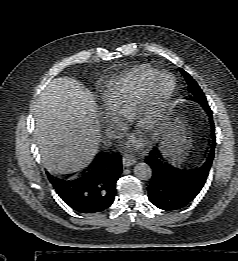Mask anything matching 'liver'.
Instances as JSON below:
<instances>
[{"mask_svg":"<svg viewBox=\"0 0 238 261\" xmlns=\"http://www.w3.org/2000/svg\"><path fill=\"white\" fill-rule=\"evenodd\" d=\"M34 137L45 168L69 174L87 167L97 154L101 126L93 96L80 82L59 77L47 84L35 108Z\"/></svg>","mask_w":238,"mask_h":261,"instance_id":"6515ba94","label":"liver"}]
</instances>
